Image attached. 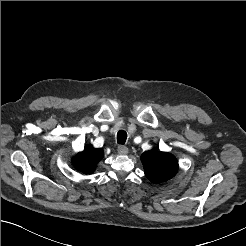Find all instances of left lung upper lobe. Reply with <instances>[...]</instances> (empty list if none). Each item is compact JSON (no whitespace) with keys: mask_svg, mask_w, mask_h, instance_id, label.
<instances>
[{"mask_svg":"<svg viewBox=\"0 0 246 246\" xmlns=\"http://www.w3.org/2000/svg\"><path fill=\"white\" fill-rule=\"evenodd\" d=\"M141 161L145 169L146 177L154 182L160 183L172 178L178 170L176 158L166 152L150 150L141 155Z\"/></svg>","mask_w":246,"mask_h":246,"instance_id":"1","label":"left lung upper lobe"}]
</instances>
